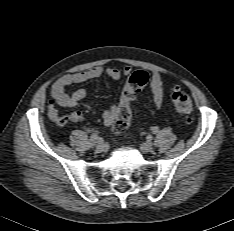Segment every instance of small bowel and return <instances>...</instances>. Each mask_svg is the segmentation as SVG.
<instances>
[{"mask_svg": "<svg viewBox=\"0 0 234 231\" xmlns=\"http://www.w3.org/2000/svg\"><path fill=\"white\" fill-rule=\"evenodd\" d=\"M132 72L131 67L126 66L123 69L117 67L103 68L95 66L84 71L76 72L73 74L63 75L58 78L51 87L52 101L48 106V115L52 120L58 118V111L54 107V103L61 107H74L81 102L86 96L87 91L83 88L75 90L69 94L66 88L75 83L86 82L106 74L113 80H118L122 76H129ZM150 87L153 94V103L155 108L160 109L165 104L166 94L164 88V81L161 75L157 72L151 74ZM119 111V106L113 104L103 111L102 118L106 126H113ZM69 119L74 123H79L83 120V114L80 111L72 112Z\"/></svg>", "mask_w": 234, "mask_h": 231, "instance_id": "small-bowel-1", "label": "small bowel"}]
</instances>
